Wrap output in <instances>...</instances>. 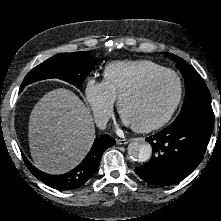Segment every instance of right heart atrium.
Returning a JSON list of instances; mask_svg holds the SVG:
<instances>
[{"mask_svg":"<svg viewBox=\"0 0 221 221\" xmlns=\"http://www.w3.org/2000/svg\"><path fill=\"white\" fill-rule=\"evenodd\" d=\"M84 96L97 123L105 125L113 114L116 99L104 81L87 79L84 85Z\"/></svg>","mask_w":221,"mask_h":221,"instance_id":"obj_1","label":"right heart atrium"}]
</instances>
